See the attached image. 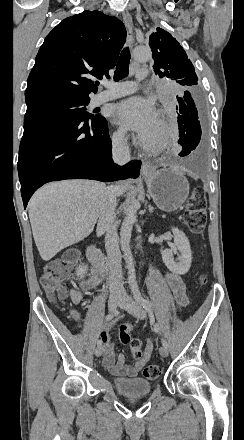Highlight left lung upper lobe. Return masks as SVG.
<instances>
[{
  "instance_id": "left-lung-upper-lobe-1",
  "label": "left lung upper lobe",
  "mask_w": 244,
  "mask_h": 440,
  "mask_svg": "<svg viewBox=\"0 0 244 440\" xmlns=\"http://www.w3.org/2000/svg\"><path fill=\"white\" fill-rule=\"evenodd\" d=\"M149 45L153 52L154 72L193 90L198 78L194 66L177 40L170 33L157 28L150 36Z\"/></svg>"
}]
</instances>
